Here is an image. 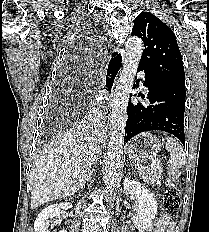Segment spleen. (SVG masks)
<instances>
[{
  "instance_id": "spleen-1",
  "label": "spleen",
  "mask_w": 209,
  "mask_h": 232,
  "mask_svg": "<svg viewBox=\"0 0 209 232\" xmlns=\"http://www.w3.org/2000/svg\"><path fill=\"white\" fill-rule=\"evenodd\" d=\"M166 149L171 157L167 167V175L169 180L175 181L180 176L179 169L186 163V156L182 146L172 137L166 138Z\"/></svg>"
}]
</instances>
